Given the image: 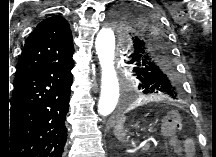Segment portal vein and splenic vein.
I'll return each instance as SVG.
<instances>
[{"label":"portal vein and splenic vein","mask_w":216,"mask_h":157,"mask_svg":"<svg viewBox=\"0 0 216 157\" xmlns=\"http://www.w3.org/2000/svg\"><path fill=\"white\" fill-rule=\"evenodd\" d=\"M139 148H143L144 150H147L149 148V145H147V144L144 143Z\"/></svg>","instance_id":"1"}]
</instances>
